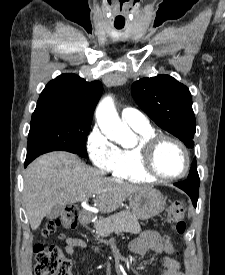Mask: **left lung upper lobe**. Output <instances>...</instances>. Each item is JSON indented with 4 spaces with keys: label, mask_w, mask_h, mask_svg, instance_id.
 <instances>
[{
    "label": "left lung upper lobe",
    "mask_w": 225,
    "mask_h": 275,
    "mask_svg": "<svg viewBox=\"0 0 225 275\" xmlns=\"http://www.w3.org/2000/svg\"><path fill=\"white\" fill-rule=\"evenodd\" d=\"M132 94L136 103L164 130L194 147L196 121L189 89L169 75L143 78L133 83ZM188 179L199 181L196 161Z\"/></svg>",
    "instance_id": "left-lung-upper-lobe-1"
}]
</instances>
